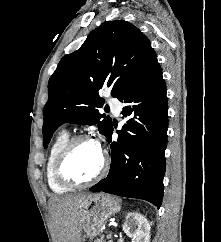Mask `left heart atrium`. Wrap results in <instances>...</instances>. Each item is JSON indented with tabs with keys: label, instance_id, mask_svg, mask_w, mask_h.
<instances>
[{
	"label": "left heart atrium",
	"instance_id": "1",
	"mask_svg": "<svg viewBox=\"0 0 221 242\" xmlns=\"http://www.w3.org/2000/svg\"><path fill=\"white\" fill-rule=\"evenodd\" d=\"M93 142H95L96 143V145L100 148V143H99V141H97V140H94Z\"/></svg>",
	"mask_w": 221,
	"mask_h": 242
}]
</instances>
